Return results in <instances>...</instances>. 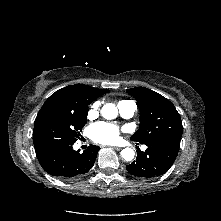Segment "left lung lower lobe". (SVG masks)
<instances>
[{
  "instance_id": "obj_1",
  "label": "left lung lower lobe",
  "mask_w": 221,
  "mask_h": 221,
  "mask_svg": "<svg viewBox=\"0 0 221 221\" xmlns=\"http://www.w3.org/2000/svg\"><path fill=\"white\" fill-rule=\"evenodd\" d=\"M144 144L147 146L146 151H137V158L126 166L127 171L141 178H154L165 174L177 157L180 141L161 138Z\"/></svg>"
}]
</instances>
